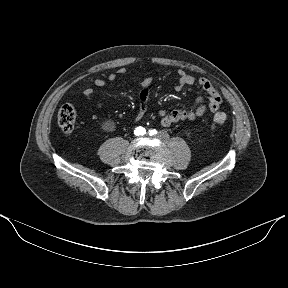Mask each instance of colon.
<instances>
[{"label":"colon","instance_id":"obj_1","mask_svg":"<svg viewBox=\"0 0 288 288\" xmlns=\"http://www.w3.org/2000/svg\"><path fill=\"white\" fill-rule=\"evenodd\" d=\"M77 110L71 104H64L58 111L57 122L60 129L68 134L71 133L77 123ZM227 120L226 113L219 111L216 112L212 120V128L222 126Z\"/></svg>","mask_w":288,"mask_h":288}]
</instances>
